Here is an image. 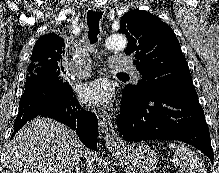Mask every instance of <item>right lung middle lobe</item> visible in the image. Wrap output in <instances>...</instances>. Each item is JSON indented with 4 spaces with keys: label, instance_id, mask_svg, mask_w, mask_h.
Masks as SVG:
<instances>
[{
    "label": "right lung middle lobe",
    "instance_id": "1",
    "mask_svg": "<svg viewBox=\"0 0 219 173\" xmlns=\"http://www.w3.org/2000/svg\"><path fill=\"white\" fill-rule=\"evenodd\" d=\"M39 77H48L54 79L64 91H72V88L66 80V71L60 64L41 62L38 64H29L26 76L25 88L34 83Z\"/></svg>",
    "mask_w": 219,
    "mask_h": 173
}]
</instances>
